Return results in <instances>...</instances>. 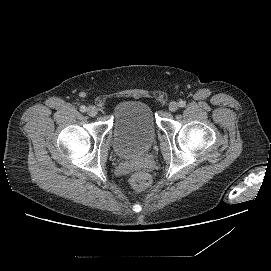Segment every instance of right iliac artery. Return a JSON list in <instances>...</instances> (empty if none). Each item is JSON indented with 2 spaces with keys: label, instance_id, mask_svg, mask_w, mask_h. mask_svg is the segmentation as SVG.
Instances as JSON below:
<instances>
[{
  "label": "right iliac artery",
  "instance_id": "1",
  "mask_svg": "<svg viewBox=\"0 0 271 271\" xmlns=\"http://www.w3.org/2000/svg\"><path fill=\"white\" fill-rule=\"evenodd\" d=\"M86 110H87L86 106L82 105V106L80 107V111H81V112H85Z\"/></svg>",
  "mask_w": 271,
  "mask_h": 271
}]
</instances>
